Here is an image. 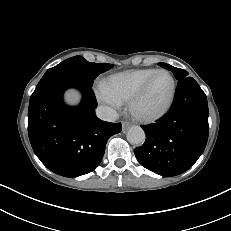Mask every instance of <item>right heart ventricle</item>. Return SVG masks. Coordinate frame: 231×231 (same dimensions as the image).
<instances>
[{"label":"right heart ventricle","mask_w":231,"mask_h":231,"mask_svg":"<svg viewBox=\"0 0 231 231\" xmlns=\"http://www.w3.org/2000/svg\"><path fill=\"white\" fill-rule=\"evenodd\" d=\"M156 71L153 68L132 69L107 77L100 85L103 94L120 102L127 101Z\"/></svg>","instance_id":"right-heart-ventricle-1"}]
</instances>
